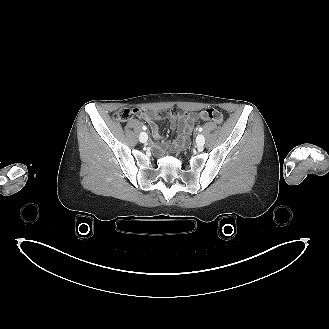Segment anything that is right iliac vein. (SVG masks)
<instances>
[{
  "instance_id": "1",
  "label": "right iliac vein",
  "mask_w": 329,
  "mask_h": 329,
  "mask_svg": "<svg viewBox=\"0 0 329 329\" xmlns=\"http://www.w3.org/2000/svg\"><path fill=\"white\" fill-rule=\"evenodd\" d=\"M148 139V135L146 132H141L140 135H139V141L141 143H145Z\"/></svg>"
}]
</instances>
